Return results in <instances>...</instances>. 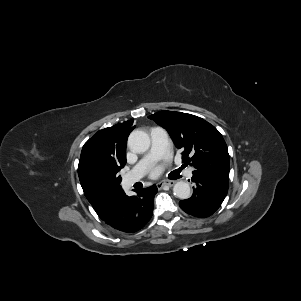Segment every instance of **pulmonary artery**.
Masks as SVG:
<instances>
[{
  "label": "pulmonary artery",
  "mask_w": 301,
  "mask_h": 301,
  "mask_svg": "<svg viewBox=\"0 0 301 301\" xmlns=\"http://www.w3.org/2000/svg\"><path fill=\"white\" fill-rule=\"evenodd\" d=\"M151 148L143 159L123 178L125 187H129L139 181L144 175L147 168L158 159L167 154L168 149V133L161 127H153L150 131ZM188 177H192V171H186Z\"/></svg>",
  "instance_id": "pulmonary-artery-1"
}]
</instances>
